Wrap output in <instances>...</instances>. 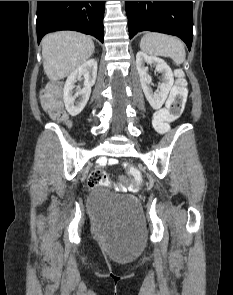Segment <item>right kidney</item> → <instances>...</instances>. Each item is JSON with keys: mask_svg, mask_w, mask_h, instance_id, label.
Returning a JSON list of instances; mask_svg holds the SVG:
<instances>
[{"mask_svg": "<svg viewBox=\"0 0 233 295\" xmlns=\"http://www.w3.org/2000/svg\"><path fill=\"white\" fill-rule=\"evenodd\" d=\"M84 76V87L72 95L75 88V82ZM97 77V62L90 59L75 69L67 78L63 89V100L66 110L71 116H76L84 109L87 104L91 87L95 84ZM79 97L78 101L75 99Z\"/></svg>", "mask_w": 233, "mask_h": 295, "instance_id": "1", "label": "right kidney"}]
</instances>
